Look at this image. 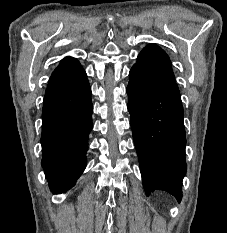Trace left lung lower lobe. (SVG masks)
I'll return each mask as SVG.
<instances>
[{"label": "left lung lower lobe", "instance_id": "1", "mask_svg": "<svg viewBox=\"0 0 227 233\" xmlns=\"http://www.w3.org/2000/svg\"><path fill=\"white\" fill-rule=\"evenodd\" d=\"M128 110L143 186L182 199L186 173L183 106L175 82L141 68L129 72Z\"/></svg>", "mask_w": 227, "mask_h": 233}]
</instances>
